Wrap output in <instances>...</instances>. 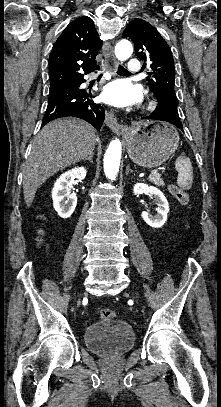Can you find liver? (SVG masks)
I'll return each mask as SVG.
<instances>
[{
	"label": "liver",
	"mask_w": 221,
	"mask_h": 407,
	"mask_svg": "<svg viewBox=\"0 0 221 407\" xmlns=\"http://www.w3.org/2000/svg\"><path fill=\"white\" fill-rule=\"evenodd\" d=\"M96 140L95 129L80 119H58L46 124L34 138L23 170L27 207L49 177L92 154Z\"/></svg>",
	"instance_id": "liver-1"
}]
</instances>
